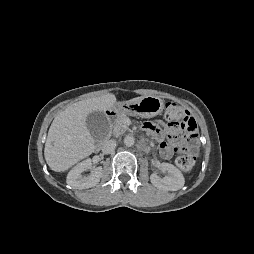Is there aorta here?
Listing matches in <instances>:
<instances>
[{
    "label": "aorta",
    "mask_w": 254,
    "mask_h": 254,
    "mask_svg": "<svg viewBox=\"0 0 254 254\" xmlns=\"http://www.w3.org/2000/svg\"><path fill=\"white\" fill-rule=\"evenodd\" d=\"M134 137L133 136H130V135H128V136H126L125 138H124V144L127 146V147H131V146H133L134 145Z\"/></svg>",
    "instance_id": "aorta-1"
}]
</instances>
